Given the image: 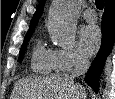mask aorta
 <instances>
[{
    "label": "aorta",
    "mask_w": 115,
    "mask_h": 99,
    "mask_svg": "<svg viewBox=\"0 0 115 99\" xmlns=\"http://www.w3.org/2000/svg\"><path fill=\"white\" fill-rule=\"evenodd\" d=\"M80 8L77 0H53L49 14V31L54 43L63 48L74 44Z\"/></svg>",
    "instance_id": "1"
}]
</instances>
